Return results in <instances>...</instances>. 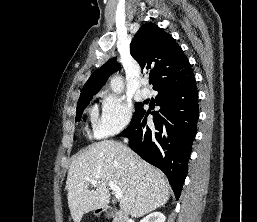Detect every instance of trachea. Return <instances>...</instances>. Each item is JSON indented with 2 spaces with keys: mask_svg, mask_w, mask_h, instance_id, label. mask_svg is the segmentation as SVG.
<instances>
[{
  "mask_svg": "<svg viewBox=\"0 0 257 222\" xmlns=\"http://www.w3.org/2000/svg\"><path fill=\"white\" fill-rule=\"evenodd\" d=\"M153 82H154L153 77H150V78H149V83L151 84V83H153Z\"/></svg>",
  "mask_w": 257,
  "mask_h": 222,
  "instance_id": "trachea-1",
  "label": "trachea"
}]
</instances>
